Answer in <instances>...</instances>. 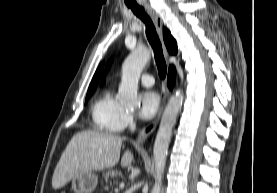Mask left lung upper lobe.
Returning <instances> with one entry per match:
<instances>
[{
    "instance_id": "obj_1",
    "label": "left lung upper lobe",
    "mask_w": 277,
    "mask_h": 193,
    "mask_svg": "<svg viewBox=\"0 0 277 193\" xmlns=\"http://www.w3.org/2000/svg\"><path fill=\"white\" fill-rule=\"evenodd\" d=\"M111 62H112V59L108 62V64H107V68H106V72L108 71V69H109V67H110V65H111ZM104 83V82H103Z\"/></svg>"
}]
</instances>
